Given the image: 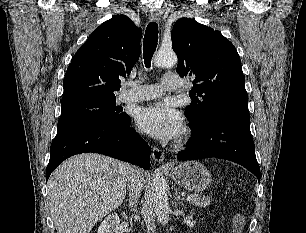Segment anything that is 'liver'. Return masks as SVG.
<instances>
[{"instance_id": "1", "label": "liver", "mask_w": 306, "mask_h": 233, "mask_svg": "<svg viewBox=\"0 0 306 233\" xmlns=\"http://www.w3.org/2000/svg\"><path fill=\"white\" fill-rule=\"evenodd\" d=\"M132 166L95 153L74 156L48 180V200L57 233H89L123 202Z\"/></svg>"}]
</instances>
